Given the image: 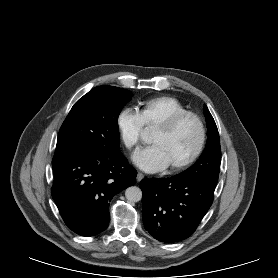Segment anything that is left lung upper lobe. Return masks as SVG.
Here are the masks:
<instances>
[{"label":"left lung upper lobe","instance_id":"5c2ea615","mask_svg":"<svg viewBox=\"0 0 278 278\" xmlns=\"http://www.w3.org/2000/svg\"><path fill=\"white\" fill-rule=\"evenodd\" d=\"M204 114L208 127L206 148L193 166L175 175V177L201 179L217 183L221 163L219 133L215 121L206 105L204 106Z\"/></svg>","mask_w":278,"mask_h":278}]
</instances>
